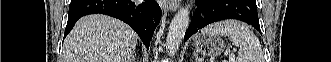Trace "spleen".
<instances>
[{"instance_id": "1", "label": "spleen", "mask_w": 331, "mask_h": 62, "mask_svg": "<svg viewBox=\"0 0 331 62\" xmlns=\"http://www.w3.org/2000/svg\"><path fill=\"white\" fill-rule=\"evenodd\" d=\"M201 34L221 35L239 46L236 62H262V48L253 32L234 20H225L210 24L201 30Z\"/></svg>"}]
</instances>
